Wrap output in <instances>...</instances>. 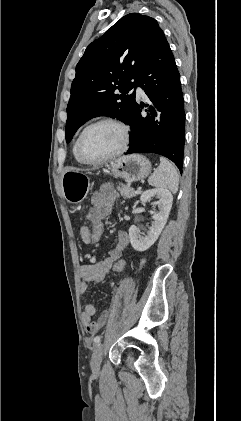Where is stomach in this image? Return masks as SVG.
Here are the masks:
<instances>
[{
  "mask_svg": "<svg viewBox=\"0 0 241 421\" xmlns=\"http://www.w3.org/2000/svg\"><path fill=\"white\" fill-rule=\"evenodd\" d=\"M115 177L134 182L145 179L151 172V163L139 154L121 156L109 164ZM64 198L67 202L78 204L84 200L90 189V179L79 169H67L61 178Z\"/></svg>",
  "mask_w": 241,
  "mask_h": 421,
  "instance_id": "0dacf381",
  "label": "stomach"
}]
</instances>
